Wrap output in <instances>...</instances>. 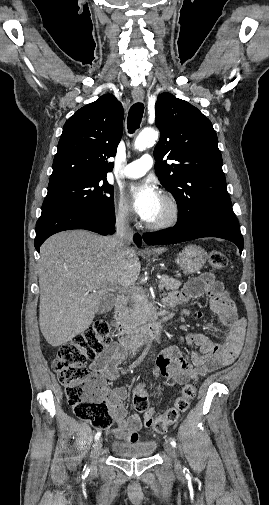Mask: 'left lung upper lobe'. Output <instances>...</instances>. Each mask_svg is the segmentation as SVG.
I'll use <instances>...</instances> for the list:
<instances>
[{"instance_id":"left-lung-upper-lobe-1","label":"left lung upper lobe","mask_w":269,"mask_h":505,"mask_svg":"<svg viewBox=\"0 0 269 505\" xmlns=\"http://www.w3.org/2000/svg\"><path fill=\"white\" fill-rule=\"evenodd\" d=\"M155 113L161 133L154 149L155 170L177 201V224H191L213 210H232L210 120L190 103L167 92L158 96ZM163 158L173 163L167 164Z\"/></svg>"}]
</instances>
